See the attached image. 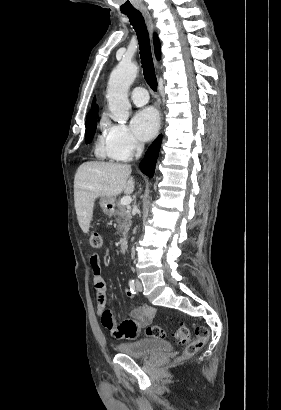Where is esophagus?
Wrapping results in <instances>:
<instances>
[{
    "label": "esophagus",
    "instance_id": "34e87169",
    "mask_svg": "<svg viewBox=\"0 0 281 410\" xmlns=\"http://www.w3.org/2000/svg\"><path fill=\"white\" fill-rule=\"evenodd\" d=\"M141 12H142V14L145 18L148 30H149L150 34L152 35V33L155 29V26H154L153 21H152V17L150 15L149 11L146 8L141 9ZM155 65H156L157 70H159V64H158L157 61H155Z\"/></svg>",
    "mask_w": 281,
    "mask_h": 410
}]
</instances>
